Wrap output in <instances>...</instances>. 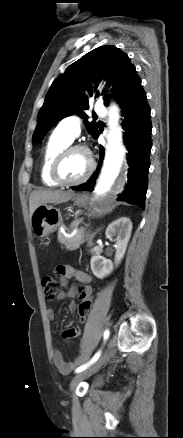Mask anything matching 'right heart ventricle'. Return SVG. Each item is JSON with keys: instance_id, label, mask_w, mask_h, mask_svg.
Here are the masks:
<instances>
[{"instance_id": "right-heart-ventricle-1", "label": "right heart ventricle", "mask_w": 183, "mask_h": 438, "mask_svg": "<svg viewBox=\"0 0 183 438\" xmlns=\"http://www.w3.org/2000/svg\"><path fill=\"white\" fill-rule=\"evenodd\" d=\"M72 143V140L67 138L65 135L61 134L55 130L49 137L47 143L45 144L41 164H40V177L42 183L46 187H56L57 184L51 179L49 175V170L54 157L59 151L67 147Z\"/></svg>"}]
</instances>
